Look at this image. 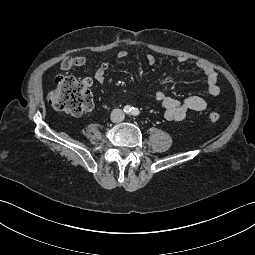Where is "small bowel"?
Here are the masks:
<instances>
[{"instance_id":"1","label":"small bowel","mask_w":255,"mask_h":255,"mask_svg":"<svg viewBox=\"0 0 255 255\" xmlns=\"http://www.w3.org/2000/svg\"><path fill=\"white\" fill-rule=\"evenodd\" d=\"M129 56L126 50H121L117 54L118 60H124ZM149 65H154L156 58L153 54L148 53L145 56ZM180 63L187 62V58L181 57L178 59ZM86 63L84 56L66 57L60 64L62 71H69L73 68L83 66ZM197 67L203 74L206 83L208 93L212 96H218L220 94V87L218 86V74L214 68L203 63L197 62ZM110 68V62H103L95 71L93 77H86L84 84L86 87H92L95 82L103 84L106 81V74ZM155 99L160 103L164 110V116L170 121H181L186 118L187 115L193 112H201L207 108V101L200 96H190L183 101H178L174 98L168 97L162 90H159L155 94Z\"/></svg>"}]
</instances>
